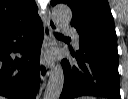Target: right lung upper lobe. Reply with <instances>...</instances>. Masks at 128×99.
Instances as JSON below:
<instances>
[{
    "label": "right lung upper lobe",
    "instance_id": "cb5924a9",
    "mask_svg": "<svg viewBox=\"0 0 128 99\" xmlns=\"http://www.w3.org/2000/svg\"><path fill=\"white\" fill-rule=\"evenodd\" d=\"M34 0H0V36L38 16Z\"/></svg>",
    "mask_w": 128,
    "mask_h": 99
}]
</instances>
